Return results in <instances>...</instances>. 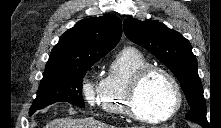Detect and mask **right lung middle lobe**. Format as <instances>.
Here are the masks:
<instances>
[{
    "label": "right lung middle lobe",
    "instance_id": "right-lung-middle-lobe-1",
    "mask_svg": "<svg viewBox=\"0 0 221 128\" xmlns=\"http://www.w3.org/2000/svg\"><path fill=\"white\" fill-rule=\"evenodd\" d=\"M99 59L45 71L29 114L32 115L36 110L55 102H69L84 108L85 104L82 97L83 77Z\"/></svg>",
    "mask_w": 221,
    "mask_h": 128
}]
</instances>
